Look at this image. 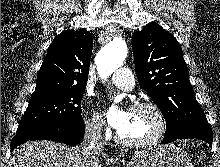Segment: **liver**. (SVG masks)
Masks as SVG:
<instances>
[{
  "mask_svg": "<svg viewBox=\"0 0 220 167\" xmlns=\"http://www.w3.org/2000/svg\"><path fill=\"white\" fill-rule=\"evenodd\" d=\"M99 157L87 158L80 146L32 141L13 151L9 167H101Z\"/></svg>",
  "mask_w": 220,
  "mask_h": 167,
  "instance_id": "6515ba94",
  "label": "liver"
}]
</instances>
